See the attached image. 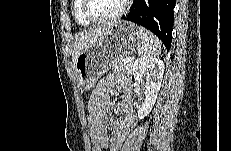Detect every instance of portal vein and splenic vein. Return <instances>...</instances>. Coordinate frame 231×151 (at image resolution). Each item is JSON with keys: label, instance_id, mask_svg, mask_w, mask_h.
<instances>
[{"label": "portal vein and splenic vein", "instance_id": "obj_1", "mask_svg": "<svg viewBox=\"0 0 231 151\" xmlns=\"http://www.w3.org/2000/svg\"><path fill=\"white\" fill-rule=\"evenodd\" d=\"M132 60H133L132 57H126V58H125V61H126V62H131Z\"/></svg>", "mask_w": 231, "mask_h": 151}]
</instances>
